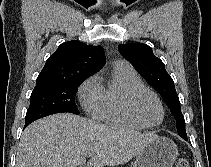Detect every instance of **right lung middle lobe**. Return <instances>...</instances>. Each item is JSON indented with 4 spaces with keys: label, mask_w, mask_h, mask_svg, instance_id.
Wrapping results in <instances>:
<instances>
[{
    "label": "right lung middle lobe",
    "mask_w": 211,
    "mask_h": 167,
    "mask_svg": "<svg viewBox=\"0 0 211 167\" xmlns=\"http://www.w3.org/2000/svg\"><path fill=\"white\" fill-rule=\"evenodd\" d=\"M84 80L85 78H81L63 83L36 84L30 96L25 124L60 112L79 114L74 98Z\"/></svg>",
    "instance_id": "dd1d6c3e"
}]
</instances>
